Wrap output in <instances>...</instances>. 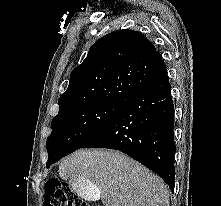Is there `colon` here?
I'll return each instance as SVG.
<instances>
[{"label": "colon", "mask_w": 221, "mask_h": 206, "mask_svg": "<svg viewBox=\"0 0 221 206\" xmlns=\"http://www.w3.org/2000/svg\"><path fill=\"white\" fill-rule=\"evenodd\" d=\"M44 206H89L74 193L71 187L60 180L50 179L45 183Z\"/></svg>", "instance_id": "5ec220e1"}]
</instances>
